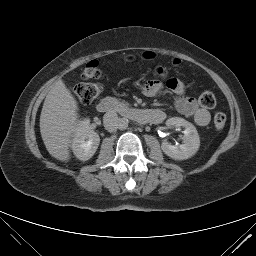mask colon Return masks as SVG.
Returning <instances> with one entry per match:
<instances>
[{"label": "colon", "instance_id": "1", "mask_svg": "<svg viewBox=\"0 0 256 256\" xmlns=\"http://www.w3.org/2000/svg\"><path fill=\"white\" fill-rule=\"evenodd\" d=\"M151 57V55H146ZM82 79L84 80H95L101 76V70L96 60L88 62L82 71ZM101 86L97 83L92 82H80L73 88V92L79 101L83 104H90L95 101L101 93ZM199 104L206 109H211L216 105V97L210 91L201 93L198 98ZM214 125L217 129H223L226 124V115L222 112H217L213 119Z\"/></svg>", "mask_w": 256, "mask_h": 256}]
</instances>
